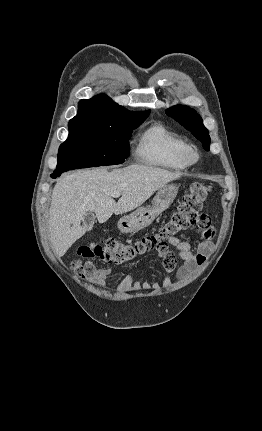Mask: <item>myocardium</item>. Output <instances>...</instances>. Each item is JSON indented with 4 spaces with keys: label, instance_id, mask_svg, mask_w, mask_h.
<instances>
[{
    "label": "myocardium",
    "instance_id": "f54148a6",
    "mask_svg": "<svg viewBox=\"0 0 262 431\" xmlns=\"http://www.w3.org/2000/svg\"><path fill=\"white\" fill-rule=\"evenodd\" d=\"M184 159H185L186 163L189 166H191V165H194V164H196L198 162L199 155H198V153L194 149L190 148L189 150H187L185 152Z\"/></svg>",
    "mask_w": 262,
    "mask_h": 431
}]
</instances>
